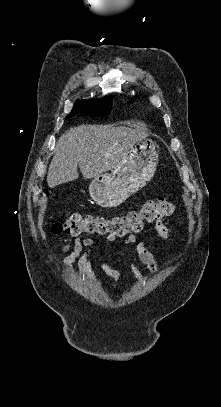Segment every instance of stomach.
<instances>
[{
	"instance_id": "obj_1",
	"label": "stomach",
	"mask_w": 221,
	"mask_h": 407,
	"mask_svg": "<svg viewBox=\"0 0 221 407\" xmlns=\"http://www.w3.org/2000/svg\"><path fill=\"white\" fill-rule=\"evenodd\" d=\"M160 147L152 139L136 142L111 172L94 177L89 186L91 198L104 208L117 207L153 178Z\"/></svg>"
}]
</instances>
